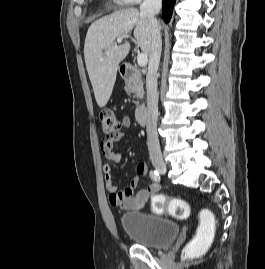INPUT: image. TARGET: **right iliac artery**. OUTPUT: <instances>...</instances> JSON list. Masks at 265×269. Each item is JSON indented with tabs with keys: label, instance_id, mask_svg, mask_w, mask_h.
Here are the masks:
<instances>
[{
	"label": "right iliac artery",
	"instance_id": "right-iliac-artery-1",
	"mask_svg": "<svg viewBox=\"0 0 265 269\" xmlns=\"http://www.w3.org/2000/svg\"><path fill=\"white\" fill-rule=\"evenodd\" d=\"M150 177L155 182H160V175L157 170H151L150 171Z\"/></svg>",
	"mask_w": 265,
	"mask_h": 269
}]
</instances>
